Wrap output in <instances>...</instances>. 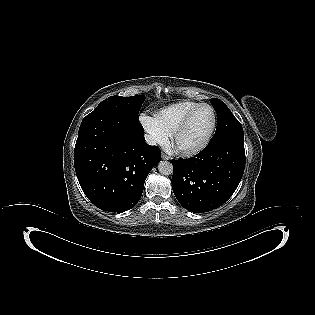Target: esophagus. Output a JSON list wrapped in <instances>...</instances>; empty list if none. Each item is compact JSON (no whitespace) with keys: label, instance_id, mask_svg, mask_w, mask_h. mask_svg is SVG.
I'll use <instances>...</instances> for the list:
<instances>
[{"label":"esophagus","instance_id":"1","mask_svg":"<svg viewBox=\"0 0 315 315\" xmlns=\"http://www.w3.org/2000/svg\"><path fill=\"white\" fill-rule=\"evenodd\" d=\"M161 158L164 159V160H169L171 157L168 156L167 154L162 153L161 154Z\"/></svg>","mask_w":315,"mask_h":315}]
</instances>
